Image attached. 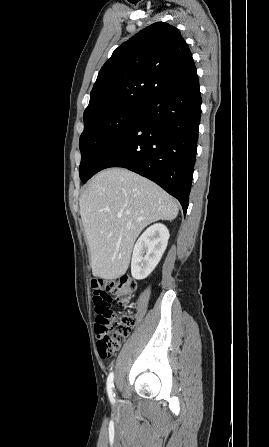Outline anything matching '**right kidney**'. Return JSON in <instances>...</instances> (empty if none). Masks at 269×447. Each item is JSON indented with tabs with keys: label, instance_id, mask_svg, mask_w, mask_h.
<instances>
[{
	"label": "right kidney",
	"instance_id": "obj_1",
	"mask_svg": "<svg viewBox=\"0 0 269 447\" xmlns=\"http://www.w3.org/2000/svg\"><path fill=\"white\" fill-rule=\"evenodd\" d=\"M168 239L169 229L164 224H153L143 231L132 253V277L144 279L153 271L167 247Z\"/></svg>",
	"mask_w": 269,
	"mask_h": 447
}]
</instances>
